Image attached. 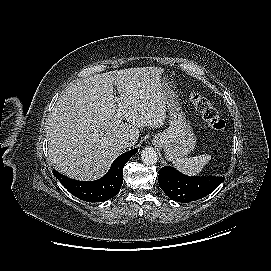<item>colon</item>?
I'll list each match as a JSON object with an SVG mask.
<instances>
[{
    "label": "colon",
    "instance_id": "1",
    "mask_svg": "<svg viewBox=\"0 0 271 271\" xmlns=\"http://www.w3.org/2000/svg\"><path fill=\"white\" fill-rule=\"evenodd\" d=\"M190 99L196 108L201 112L209 128L216 132H222L225 127V121L219 116L217 110L211 103L196 91L190 93Z\"/></svg>",
    "mask_w": 271,
    "mask_h": 271
}]
</instances>
